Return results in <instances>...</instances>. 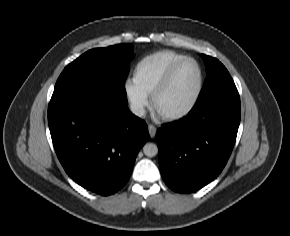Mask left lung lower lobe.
Returning a JSON list of instances; mask_svg holds the SVG:
<instances>
[{
	"label": "left lung lower lobe",
	"instance_id": "1",
	"mask_svg": "<svg viewBox=\"0 0 290 236\" xmlns=\"http://www.w3.org/2000/svg\"><path fill=\"white\" fill-rule=\"evenodd\" d=\"M240 118V98L233 88L158 129L159 165L166 185L191 193L214 180L233 150Z\"/></svg>",
	"mask_w": 290,
	"mask_h": 236
}]
</instances>
